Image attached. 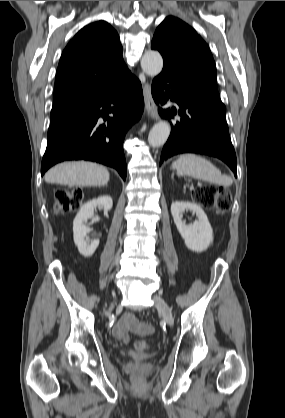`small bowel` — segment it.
Returning a JSON list of instances; mask_svg holds the SVG:
<instances>
[{
  "label": "small bowel",
  "instance_id": "small-bowel-1",
  "mask_svg": "<svg viewBox=\"0 0 285 418\" xmlns=\"http://www.w3.org/2000/svg\"><path fill=\"white\" fill-rule=\"evenodd\" d=\"M129 332L139 336H148L152 334L153 326L148 322H140L132 313H126L113 327V334L123 342H127L128 337L124 340L123 336H127Z\"/></svg>",
  "mask_w": 285,
  "mask_h": 418
}]
</instances>
